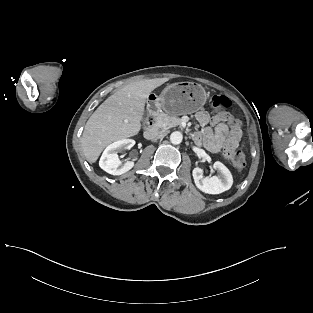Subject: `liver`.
<instances>
[{
  "label": "liver",
  "instance_id": "liver-1",
  "mask_svg": "<svg viewBox=\"0 0 313 313\" xmlns=\"http://www.w3.org/2000/svg\"><path fill=\"white\" fill-rule=\"evenodd\" d=\"M155 78L133 82L108 97L90 116L81 138L84 155L94 163L110 143L138 134L150 93L167 82Z\"/></svg>",
  "mask_w": 313,
  "mask_h": 313
}]
</instances>
